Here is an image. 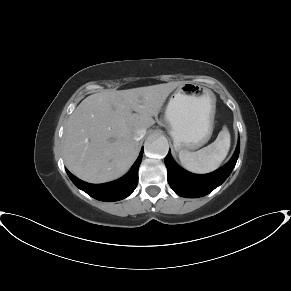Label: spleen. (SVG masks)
<instances>
[{
    "label": "spleen",
    "mask_w": 291,
    "mask_h": 291,
    "mask_svg": "<svg viewBox=\"0 0 291 291\" xmlns=\"http://www.w3.org/2000/svg\"><path fill=\"white\" fill-rule=\"evenodd\" d=\"M230 149V133L226 126L210 145L196 151L180 150L179 159L185 169L197 174L216 170L226 158Z\"/></svg>",
    "instance_id": "3e777b00"
}]
</instances>
